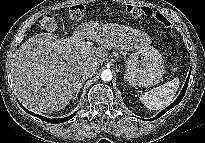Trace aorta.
I'll use <instances>...</instances> for the list:
<instances>
[{
    "instance_id": "obj_1",
    "label": "aorta",
    "mask_w": 205,
    "mask_h": 143,
    "mask_svg": "<svg viewBox=\"0 0 205 143\" xmlns=\"http://www.w3.org/2000/svg\"><path fill=\"white\" fill-rule=\"evenodd\" d=\"M101 79L103 81H110L112 79V72L110 70H104L101 73Z\"/></svg>"
}]
</instances>
